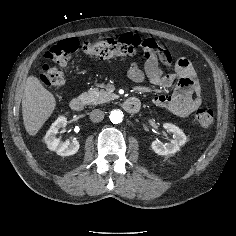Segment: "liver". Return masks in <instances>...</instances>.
Masks as SVG:
<instances>
[{"instance_id": "6515ba94", "label": "liver", "mask_w": 236, "mask_h": 236, "mask_svg": "<svg viewBox=\"0 0 236 236\" xmlns=\"http://www.w3.org/2000/svg\"><path fill=\"white\" fill-rule=\"evenodd\" d=\"M56 107L54 95L35 76L25 82L22 98L23 122L27 133L35 136Z\"/></svg>"}]
</instances>
